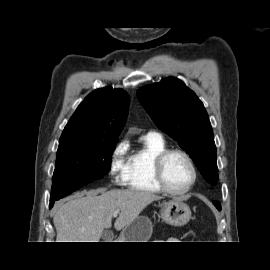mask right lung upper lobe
Listing matches in <instances>:
<instances>
[{
    "label": "right lung upper lobe",
    "mask_w": 270,
    "mask_h": 270,
    "mask_svg": "<svg viewBox=\"0 0 270 270\" xmlns=\"http://www.w3.org/2000/svg\"><path fill=\"white\" fill-rule=\"evenodd\" d=\"M129 100L122 89L105 87L91 92L70 118L60 139L117 141L127 117Z\"/></svg>",
    "instance_id": "cb5924a9"
}]
</instances>
